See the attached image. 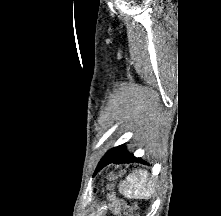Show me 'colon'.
Segmentation results:
<instances>
[{"label": "colon", "instance_id": "5ec220e1", "mask_svg": "<svg viewBox=\"0 0 221 216\" xmlns=\"http://www.w3.org/2000/svg\"><path fill=\"white\" fill-rule=\"evenodd\" d=\"M133 210H134V207L130 208V209L127 211L128 216H134V215H133V212H132Z\"/></svg>", "mask_w": 221, "mask_h": 216}]
</instances>
